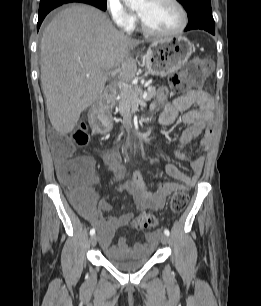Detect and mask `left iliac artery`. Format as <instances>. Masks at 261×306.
Here are the masks:
<instances>
[{"mask_svg": "<svg viewBox=\"0 0 261 306\" xmlns=\"http://www.w3.org/2000/svg\"><path fill=\"white\" fill-rule=\"evenodd\" d=\"M164 234H165L166 236H169V235H170L169 230H168V229H165V230H164Z\"/></svg>", "mask_w": 261, "mask_h": 306, "instance_id": "1", "label": "left iliac artery"}]
</instances>
